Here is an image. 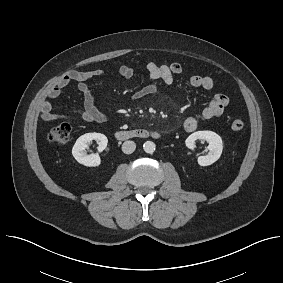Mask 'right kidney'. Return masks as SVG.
Returning a JSON list of instances; mask_svg holds the SVG:
<instances>
[{
    "instance_id": "1",
    "label": "right kidney",
    "mask_w": 283,
    "mask_h": 283,
    "mask_svg": "<svg viewBox=\"0 0 283 283\" xmlns=\"http://www.w3.org/2000/svg\"><path fill=\"white\" fill-rule=\"evenodd\" d=\"M95 140L98 143V151H103L107 147L108 139L104 134L101 133H86L80 136L73 148L72 155L80 164L87 167H96L101 164V159L99 154H87L86 148L88 144Z\"/></svg>"
}]
</instances>
